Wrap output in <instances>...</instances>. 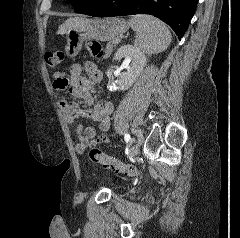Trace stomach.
<instances>
[{
    "label": "stomach",
    "instance_id": "obj_1",
    "mask_svg": "<svg viewBox=\"0 0 240 238\" xmlns=\"http://www.w3.org/2000/svg\"><path fill=\"white\" fill-rule=\"evenodd\" d=\"M128 28L129 24L122 18L84 19L78 28L66 32L65 54L73 58L81 51L84 41H110Z\"/></svg>",
    "mask_w": 240,
    "mask_h": 238
}]
</instances>
